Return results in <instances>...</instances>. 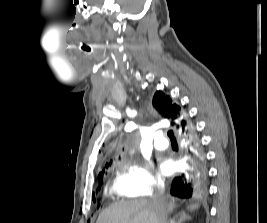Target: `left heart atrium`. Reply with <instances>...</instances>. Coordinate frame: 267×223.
Masks as SVG:
<instances>
[{
    "mask_svg": "<svg viewBox=\"0 0 267 223\" xmlns=\"http://www.w3.org/2000/svg\"><path fill=\"white\" fill-rule=\"evenodd\" d=\"M176 169V165L172 159H164L160 164V170L164 175L172 174Z\"/></svg>",
    "mask_w": 267,
    "mask_h": 223,
    "instance_id": "left-heart-atrium-1",
    "label": "left heart atrium"
}]
</instances>
